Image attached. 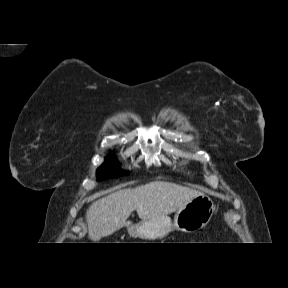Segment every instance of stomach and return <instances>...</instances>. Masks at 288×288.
I'll return each instance as SVG.
<instances>
[{"label":"stomach","mask_w":288,"mask_h":288,"mask_svg":"<svg viewBox=\"0 0 288 288\" xmlns=\"http://www.w3.org/2000/svg\"><path fill=\"white\" fill-rule=\"evenodd\" d=\"M215 205L212 199L200 193L186 205L178 209L174 220L162 216L141 221L128 228L131 237L143 240H156L166 237L171 231L194 232L204 228L210 221Z\"/></svg>","instance_id":"1"}]
</instances>
